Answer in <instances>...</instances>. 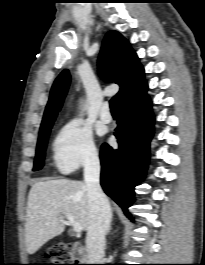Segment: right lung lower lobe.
<instances>
[{
  "label": "right lung lower lobe",
  "instance_id": "98d812e1",
  "mask_svg": "<svg viewBox=\"0 0 205 265\" xmlns=\"http://www.w3.org/2000/svg\"><path fill=\"white\" fill-rule=\"evenodd\" d=\"M151 101L145 95L138 102L120 109L114 135L118 149L103 144L100 152L101 186L123 210L133 204L134 187L145 177L149 159V143L153 135Z\"/></svg>",
  "mask_w": 205,
  "mask_h": 265
}]
</instances>
